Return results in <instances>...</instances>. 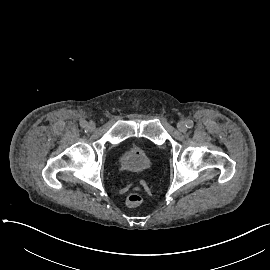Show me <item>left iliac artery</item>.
<instances>
[{"label":"left iliac artery","instance_id":"left-iliac-artery-1","mask_svg":"<svg viewBox=\"0 0 270 270\" xmlns=\"http://www.w3.org/2000/svg\"><path fill=\"white\" fill-rule=\"evenodd\" d=\"M193 125H194V123H193V121H192V120H188V121L186 122V126H187V128H192V127H193Z\"/></svg>","mask_w":270,"mask_h":270}]
</instances>
